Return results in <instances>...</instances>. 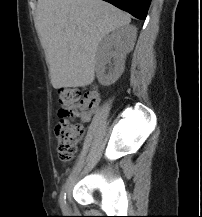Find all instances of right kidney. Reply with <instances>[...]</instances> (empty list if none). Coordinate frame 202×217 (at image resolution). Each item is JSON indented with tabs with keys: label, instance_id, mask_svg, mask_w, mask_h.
<instances>
[{
	"label": "right kidney",
	"instance_id": "right-kidney-1",
	"mask_svg": "<svg viewBox=\"0 0 202 217\" xmlns=\"http://www.w3.org/2000/svg\"><path fill=\"white\" fill-rule=\"evenodd\" d=\"M136 37V27L127 25L114 30L101 41L97 50L95 69L101 85L109 86L122 75L126 55L133 50Z\"/></svg>",
	"mask_w": 202,
	"mask_h": 217
}]
</instances>
